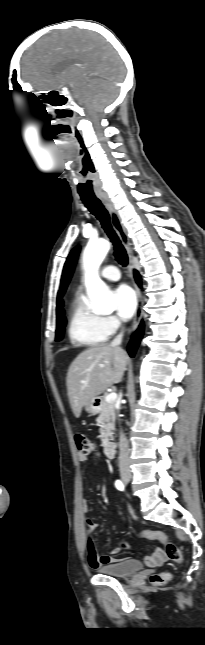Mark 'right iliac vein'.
I'll use <instances>...</instances> for the list:
<instances>
[{
  "label": "right iliac vein",
  "mask_w": 205,
  "mask_h": 645,
  "mask_svg": "<svg viewBox=\"0 0 205 645\" xmlns=\"http://www.w3.org/2000/svg\"><path fill=\"white\" fill-rule=\"evenodd\" d=\"M122 479L125 483H129L132 479V476L129 473H124L122 474Z\"/></svg>",
  "instance_id": "right-iliac-vein-1"
}]
</instances>
